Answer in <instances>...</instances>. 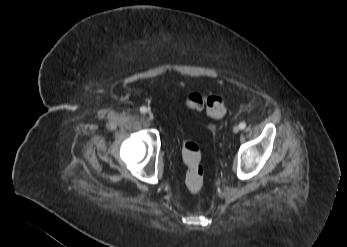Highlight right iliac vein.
<instances>
[{
	"label": "right iliac vein",
	"instance_id": "63e3f726",
	"mask_svg": "<svg viewBox=\"0 0 347 247\" xmlns=\"http://www.w3.org/2000/svg\"><path fill=\"white\" fill-rule=\"evenodd\" d=\"M148 119L149 120H153L154 119V115L151 112H148Z\"/></svg>",
	"mask_w": 347,
	"mask_h": 247
}]
</instances>
